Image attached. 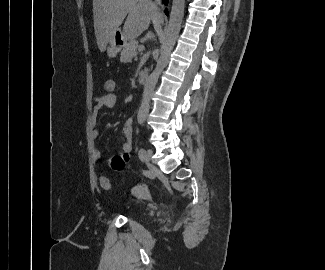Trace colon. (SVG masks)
Masks as SVG:
<instances>
[{
  "label": "colon",
  "instance_id": "5ec220e1",
  "mask_svg": "<svg viewBox=\"0 0 325 270\" xmlns=\"http://www.w3.org/2000/svg\"><path fill=\"white\" fill-rule=\"evenodd\" d=\"M103 89L105 91V94H116V89H117V83L113 78H107L103 84ZM100 186L104 190H109L111 188V183L108 178L102 177L100 179Z\"/></svg>",
  "mask_w": 325,
  "mask_h": 270
}]
</instances>
